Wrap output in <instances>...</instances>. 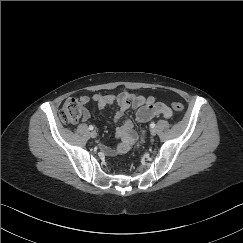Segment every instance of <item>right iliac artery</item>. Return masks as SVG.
I'll use <instances>...</instances> for the list:
<instances>
[{"instance_id": "1", "label": "right iliac artery", "mask_w": 243, "mask_h": 243, "mask_svg": "<svg viewBox=\"0 0 243 243\" xmlns=\"http://www.w3.org/2000/svg\"><path fill=\"white\" fill-rule=\"evenodd\" d=\"M94 127L92 125L89 126V130H93Z\"/></svg>"}]
</instances>
